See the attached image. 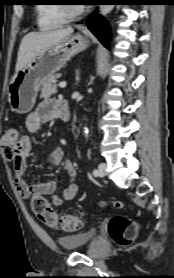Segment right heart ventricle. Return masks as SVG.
Masks as SVG:
<instances>
[{"label": "right heart ventricle", "instance_id": "1", "mask_svg": "<svg viewBox=\"0 0 174 278\" xmlns=\"http://www.w3.org/2000/svg\"><path fill=\"white\" fill-rule=\"evenodd\" d=\"M38 27L43 30H53L64 25L68 20L61 14L58 4H39L36 7Z\"/></svg>", "mask_w": 174, "mask_h": 278}]
</instances>
